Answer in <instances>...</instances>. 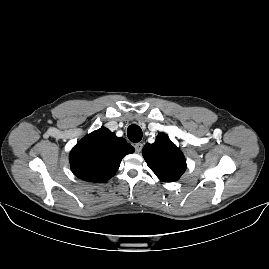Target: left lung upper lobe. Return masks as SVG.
<instances>
[{"mask_svg": "<svg viewBox=\"0 0 269 269\" xmlns=\"http://www.w3.org/2000/svg\"><path fill=\"white\" fill-rule=\"evenodd\" d=\"M142 154L149 168L164 182L177 181L186 170L183 153L164 133L157 136L155 143L146 144Z\"/></svg>", "mask_w": 269, "mask_h": 269, "instance_id": "1", "label": "left lung upper lobe"}]
</instances>
